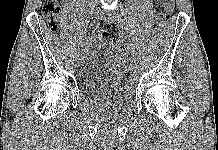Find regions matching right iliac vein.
Segmentation results:
<instances>
[{
  "instance_id": "1",
  "label": "right iliac vein",
  "mask_w": 218,
  "mask_h": 150,
  "mask_svg": "<svg viewBox=\"0 0 218 150\" xmlns=\"http://www.w3.org/2000/svg\"><path fill=\"white\" fill-rule=\"evenodd\" d=\"M92 19L93 20H98L99 19V12L97 10H94L92 13ZM86 51V45L82 44L81 45V53L83 54Z\"/></svg>"
}]
</instances>
